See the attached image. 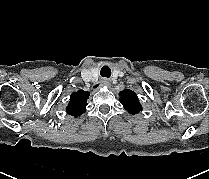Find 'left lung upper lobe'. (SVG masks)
Instances as JSON below:
<instances>
[{
  "label": "left lung upper lobe",
  "instance_id": "5c2ea615",
  "mask_svg": "<svg viewBox=\"0 0 209 179\" xmlns=\"http://www.w3.org/2000/svg\"><path fill=\"white\" fill-rule=\"evenodd\" d=\"M120 102L124 108L131 114L139 113L142 110V106L139 103L138 97L135 92L125 89L119 93Z\"/></svg>",
  "mask_w": 209,
  "mask_h": 179
}]
</instances>
